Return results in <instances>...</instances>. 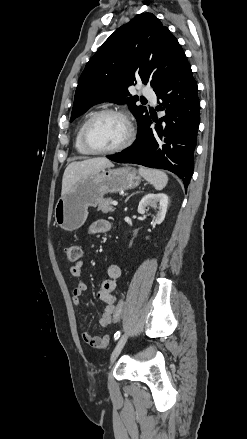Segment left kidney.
I'll use <instances>...</instances> for the list:
<instances>
[{
	"label": "left kidney",
	"instance_id": "1",
	"mask_svg": "<svg viewBox=\"0 0 247 439\" xmlns=\"http://www.w3.org/2000/svg\"><path fill=\"white\" fill-rule=\"evenodd\" d=\"M157 203L159 204L157 205ZM147 206L158 209L157 214L153 217V219L156 224H161L165 219V215L167 212L168 196L164 193L146 194L139 202L138 213L144 214Z\"/></svg>",
	"mask_w": 247,
	"mask_h": 439
}]
</instances>
